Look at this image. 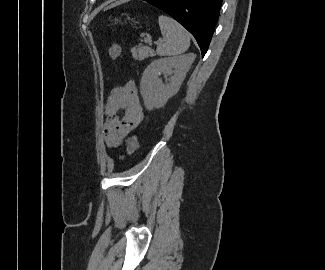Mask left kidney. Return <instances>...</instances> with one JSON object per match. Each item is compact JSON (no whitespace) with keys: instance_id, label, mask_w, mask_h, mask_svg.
I'll return each instance as SVG.
<instances>
[{"instance_id":"obj_1","label":"left kidney","mask_w":325,"mask_h":270,"mask_svg":"<svg viewBox=\"0 0 325 270\" xmlns=\"http://www.w3.org/2000/svg\"><path fill=\"white\" fill-rule=\"evenodd\" d=\"M194 59L195 55L189 53L160 58L147 66L142 75L140 93L148 110L163 107L178 92ZM161 74L170 76L166 84L159 78Z\"/></svg>"}]
</instances>
